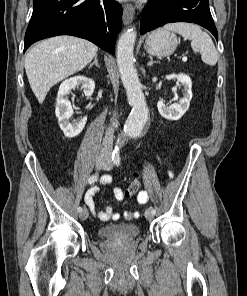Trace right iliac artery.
Returning <instances> with one entry per match:
<instances>
[{
  "mask_svg": "<svg viewBox=\"0 0 247 296\" xmlns=\"http://www.w3.org/2000/svg\"><path fill=\"white\" fill-rule=\"evenodd\" d=\"M97 179H98V174H94V175L89 177L88 183L92 184V183L96 182ZM77 210H78V212H82L83 209H82V207H78Z\"/></svg>",
  "mask_w": 247,
  "mask_h": 296,
  "instance_id": "right-iliac-artery-1",
  "label": "right iliac artery"
}]
</instances>
